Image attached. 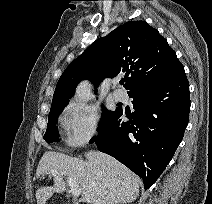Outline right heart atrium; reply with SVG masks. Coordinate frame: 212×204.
<instances>
[{
  "label": "right heart atrium",
  "mask_w": 212,
  "mask_h": 204,
  "mask_svg": "<svg viewBox=\"0 0 212 204\" xmlns=\"http://www.w3.org/2000/svg\"><path fill=\"white\" fill-rule=\"evenodd\" d=\"M99 111L83 103H70L62 116L65 141L68 146L78 148L87 144L97 133Z\"/></svg>",
  "instance_id": "right-heart-atrium-1"
}]
</instances>
